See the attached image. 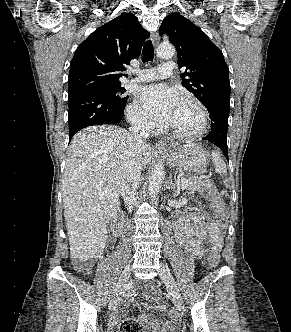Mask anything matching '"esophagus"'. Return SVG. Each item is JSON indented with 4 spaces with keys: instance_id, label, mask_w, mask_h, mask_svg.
Returning a JSON list of instances; mask_svg holds the SVG:
<instances>
[{
    "instance_id": "1",
    "label": "esophagus",
    "mask_w": 291,
    "mask_h": 332,
    "mask_svg": "<svg viewBox=\"0 0 291 332\" xmlns=\"http://www.w3.org/2000/svg\"><path fill=\"white\" fill-rule=\"evenodd\" d=\"M152 41H153L154 46L157 47L159 44V41H160V36H159L158 32H154L152 34ZM166 146H167V143L162 140H159L155 143L156 148H165Z\"/></svg>"
}]
</instances>
